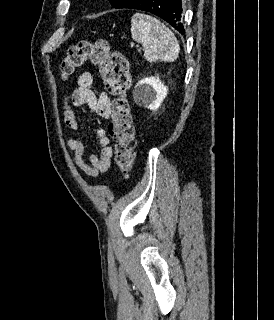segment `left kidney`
Listing matches in <instances>:
<instances>
[{"instance_id": "1", "label": "left kidney", "mask_w": 274, "mask_h": 320, "mask_svg": "<svg viewBox=\"0 0 274 320\" xmlns=\"http://www.w3.org/2000/svg\"><path fill=\"white\" fill-rule=\"evenodd\" d=\"M167 94L168 86H164L159 78H143L133 90L136 104L148 110H158Z\"/></svg>"}]
</instances>
